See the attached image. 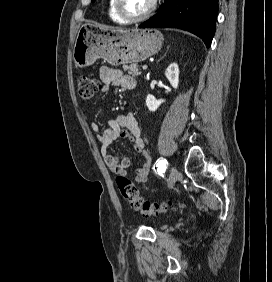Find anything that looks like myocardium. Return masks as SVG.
<instances>
[{
	"mask_svg": "<svg viewBox=\"0 0 272 282\" xmlns=\"http://www.w3.org/2000/svg\"><path fill=\"white\" fill-rule=\"evenodd\" d=\"M158 0H153L150 8L143 14L134 16L127 12L123 6L122 0H114V8L117 14L127 22L134 23L149 18L156 10Z\"/></svg>",
	"mask_w": 272,
	"mask_h": 282,
	"instance_id": "obj_1",
	"label": "myocardium"
}]
</instances>
